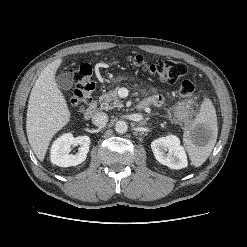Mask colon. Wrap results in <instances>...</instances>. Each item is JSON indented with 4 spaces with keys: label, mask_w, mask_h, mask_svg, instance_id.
<instances>
[{
    "label": "colon",
    "mask_w": 247,
    "mask_h": 247,
    "mask_svg": "<svg viewBox=\"0 0 247 247\" xmlns=\"http://www.w3.org/2000/svg\"><path fill=\"white\" fill-rule=\"evenodd\" d=\"M128 64L136 71L156 76L168 83H175L187 73L184 63L174 60H159L153 63L145 61L141 56H133L127 59ZM92 70L88 64H81L72 70L75 89L71 95L70 103L77 109L83 107L91 100L94 90V82L91 79ZM195 87L192 81L184 79L180 84V95L185 98L193 96Z\"/></svg>",
    "instance_id": "1"
}]
</instances>
